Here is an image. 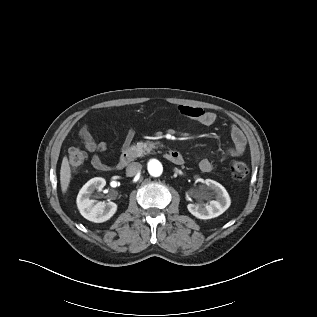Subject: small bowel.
I'll return each instance as SVG.
<instances>
[{
  "label": "small bowel",
  "mask_w": 317,
  "mask_h": 317,
  "mask_svg": "<svg viewBox=\"0 0 317 317\" xmlns=\"http://www.w3.org/2000/svg\"><path fill=\"white\" fill-rule=\"evenodd\" d=\"M178 111L181 115L194 119L205 126H210L216 121L215 113L204 110L200 107L181 105L178 107ZM229 131L232 144L221 153L220 159L222 161L241 156L246 151L247 140L243 131L235 124L230 125ZM79 135L84 141L86 150L93 154L91 158L93 167L100 171L108 170L109 167L102 161L100 156L107 150V144L105 142L95 141L86 126L80 129ZM134 136L135 130L133 128H129L123 141V147H127L133 140ZM215 167V163L210 159L204 158L199 161V169L202 172H212Z\"/></svg>",
  "instance_id": "1"
}]
</instances>
